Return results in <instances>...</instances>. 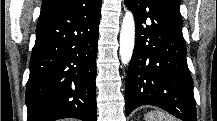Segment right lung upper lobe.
Instances as JSON below:
<instances>
[{
    "mask_svg": "<svg viewBox=\"0 0 217 121\" xmlns=\"http://www.w3.org/2000/svg\"><path fill=\"white\" fill-rule=\"evenodd\" d=\"M82 0H43L41 13L78 5Z\"/></svg>",
    "mask_w": 217,
    "mask_h": 121,
    "instance_id": "obj_1",
    "label": "right lung upper lobe"
}]
</instances>
